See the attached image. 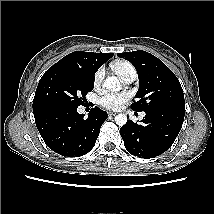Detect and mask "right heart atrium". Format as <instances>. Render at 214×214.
Listing matches in <instances>:
<instances>
[{
  "label": "right heart atrium",
  "instance_id": "1",
  "mask_svg": "<svg viewBox=\"0 0 214 214\" xmlns=\"http://www.w3.org/2000/svg\"><path fill=\"white\" fill-rule=\"evenodd\" d=\"M103 74H104V72H103V69H102V68H99V69L96 71V73H95V75H94V84H95V85H98V84L102 81Z\"/></svg>",
  "mask_w": 214,
  "mask_h": 214
}]
</instances>
